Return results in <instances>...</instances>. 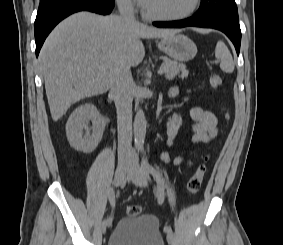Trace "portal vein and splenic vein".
Instances as JSON below:
<instances>
[{
  "label": "portal vein and splenic vein",
  "mask_w": 283,
  "mask_h": 245,
  "mask_svg": "<svg viewBox=\"0 0 283 245\" xmlns=\"http://www.w3.org/2000/svg\"><path fill=\"white\" fill-rule=\"evenodd\" d=\"M162 73H163V69L160 68V69L158 70V74H162Z\"/></svg>",
  "instance_id": "portal-vein-and-splenic-vein-1"
}]
</instances>
